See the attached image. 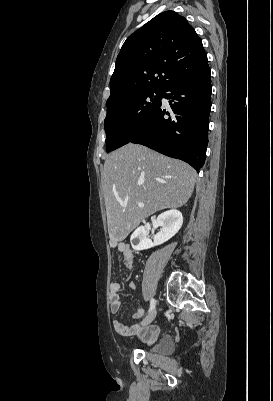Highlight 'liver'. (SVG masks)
<instances>
[{"label":"liver","instance_id":"1","mask_svg":"<svg viewBox=\"0 0 273 401\" xmlns=\"http://www.w3.org/2000/svg\"><path fill=\"white\" fill-rule=\"evenodd\" d=\"M197 172L187 162L142 144H125L108 154L102 186L110 243L123 241L142 219L178 209L190 198ZM144 203L145 207H138Z\"/></svg>","mask_w":273,"mask_h":401}]
</instances>
